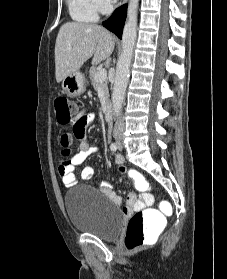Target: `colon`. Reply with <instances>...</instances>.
I'll use <instances>...</instances> for the list:
<instances>
[{
  "label": "colon",
  "instance_id": "5ec220e1",
  "mask_svg": "<svg viewBox=\"0 0 227 279\" xmlns=\"http://www.w3.org/2000/svg\"><path fill=\"white\" fill-rule=\"evenodd\" d=\"M56 119L59 125L64 128L60 136V145L65 149V154L69 153L70 135L66 130L71 127L72 131L82 132L84 119H75V105L67 98L61 97L55 100ZM135 186L144 194L150 188L149 182L138 172L132 173ZM165 224V215L160 211L151 209L139 210L133 214L129 221L125 246L128 250H137L146 240L153 238L162 230Z\"/></svg>",
  "mask_w": 227,
  "mask_h": 279
}]
</instances>
